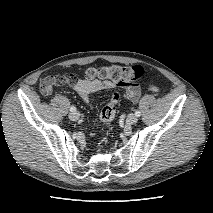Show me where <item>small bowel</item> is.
I'll use <instances>...</instances> for the list:
<instances>
[{
  "instance_id": "c3829d8e",
  "label": "small bowel",
  "mask_w": 213,
  "mask_h": 213,
  "mask_svg": "<svg viewBox=\"0 0 213 213\" xmlns=\"http://www.w3.org/2000/svg\"><path fill=\"white\" fill-rule=\"evenodd\" d=\"M59 85H69L71 86L80 98L87 103L90 96L101 90H110L115 88L116 83L108 80H98V79H77L75 78L71 83H58L54 80L53 76L46 77L41 81L40 89L41 92L48 96L52 93L55 86ZM127 91L130 95L126 96V98L131 102H136L140 96V89L138 86L129 88Z\"/></svg>"
}]
</instances>
